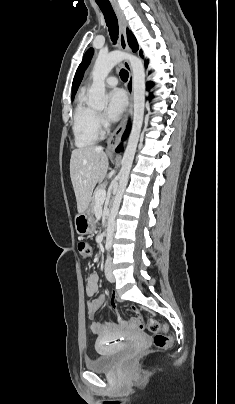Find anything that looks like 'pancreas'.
I'll return each instance as SVG.
<instances>
[{
    "instance_id": "1",
    "label": "pancreas",
    "mask_w": 235,
    "mask_h": 404,
    "mask_svg": "<svg viewBox=\"0 0 235 404\" xmlns=\"http://www.w3.org/2000/svg\"><path fill=\"white\" fill-rule=\"evenodd\" d=\"M101 189H104V186H103V185H99V186L96 188L95 192H94V195H93V198H92V204H91V210H92V212L95 211V208H96V206H97V201H96V199H95V193H96L98 190H101Z\"/></svg>"
}]
</instances>
